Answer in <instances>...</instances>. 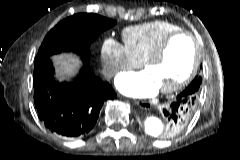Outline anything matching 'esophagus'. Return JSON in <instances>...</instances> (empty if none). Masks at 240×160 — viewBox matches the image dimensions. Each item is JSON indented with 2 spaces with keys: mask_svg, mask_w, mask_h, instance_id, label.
<instances>
[{
  "mask_svg": "<svg viewBox=\"0 0 240 160\" xmlns=\"http://www.w3.org/2000/svg\"><path fill=\"white\" fill-rule=\"evenodd\" d=\"M135 104H137L138 106L140 107H143V105L146 103V102H140V101H134Z\"/></svg>",
  "mask_w": 240,
  "mask_h": 160,
  "instance_id": "esophagus-1",
  "label": "esophagus"
}]
</instances>
